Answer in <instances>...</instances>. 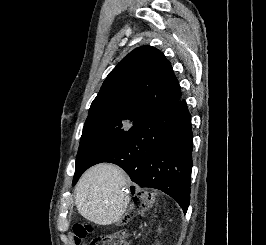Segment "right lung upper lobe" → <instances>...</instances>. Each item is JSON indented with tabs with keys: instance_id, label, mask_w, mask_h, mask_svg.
Here are the masks:
<instances>
[{
	"instance_id": "cb5924a9",
	"label": "right lung upper lobe",
	"mask_w": 266,
	"mask_h": 245,
	"mask_svg": "<svg viewBox=\"0 0 266 245\" xmlns=\"http://www.w3.org/2000/svg\"><path fill=\"white\" fill-rule=\"evenodd\" d=\"M181 89L170 62L150 46L136 48L110 72L89 115L120 112L144 117L181 98Z\"/></svg>"
}]
</instances>
